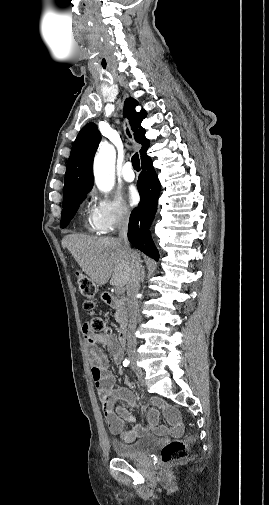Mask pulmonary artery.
Segmentation results:
<instances>
[{"label":"pulmonary artery","instance_id":"1","mask_svg":"<svg viewBox=\"0 0 269 505\" xmlns=\"http://www.w3.org/2000/svg\"><path fill=\"white\" fill-rule=\"evenodd\" d=\"M121 175H122L123 179L128 182H131L135 179V173L132 168L131 162L128 161L123 165L122 170H121Z\"/></svg>","mask_w":269,"mask_h":505}]
</instances>
